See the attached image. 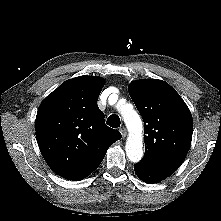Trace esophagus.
<instances>
[{
  "instance_id": "34e87169",
  "label": "esophagus",
  "mask_w": 221,
  "mask_h": 221,
  "mask_svg": "<svg viewBox=\"0 0 221 221\" xmlns=\"http://www.w3.org/2000/svg\"><path fill=\"white\" fill-rule=\"evenodd\" d=\"M120 132L123 138L127 136V129L125 127L120 128Z\"/></svg>"
}]
</instances>
